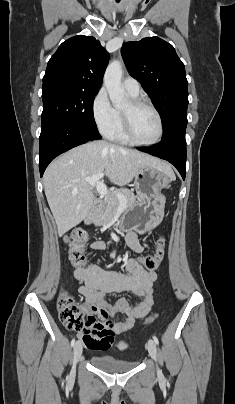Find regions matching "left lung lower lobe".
<instances>
[{"mask_svg": "<svg viewBox=\"0 0 235 404\" xmlns=\"http://www.w3.org/2000/svg\"><path fill=\"white\" fill-rule=\"evenodd\" d=\"M140 151L165 159L173 164L182 178L186 175V145L185 135H175L163 139L151 148H138Z\"/></svg>", "mask_w": 235, "mask_h": 404, "instance_id": "obj_1", "label": "left lung lower lobe"}]
</instances>
